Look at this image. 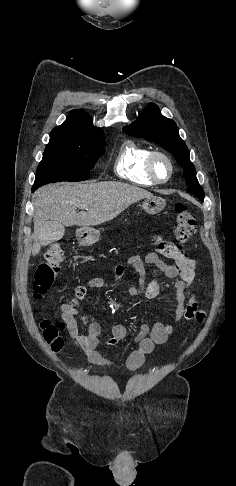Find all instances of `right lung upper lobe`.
Masks as SVG:
<instances>
[{"mask_svg":"<svg viewBox=\"0 0 236 486\" xmlns=\"http://www.w3.org/2000/svg\"><path fill=\"white\" fill-rule=\"evenodd\" d=\"M50 136L69 137L87 142L104 140V132L94 126L90 116L80 109L70 111L66 121L53 128Z\"/></svg>","mask_w":236,"mask_h":486,"instance_id":"right-lung-upper-lobe-1","label":"right lung upper lobe"}]
</instances>
